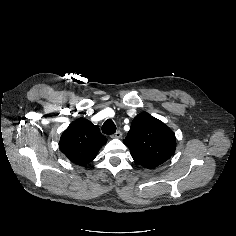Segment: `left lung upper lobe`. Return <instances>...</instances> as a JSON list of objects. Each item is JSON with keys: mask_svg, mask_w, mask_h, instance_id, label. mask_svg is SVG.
<instances>
[{"mask_svg": "<svg viewBox=\"0 0 236 236\" xmlns=\"http://www.w3.org/2000/svg\"><path fill=\"white\" fill-rule=\"evenodd\" d=\"M123 142L130 149L132 158L148 169L167 161L174 154L176 147L173 131L146 112L134 118Z\"/></svg>", "mask_w": 236, "mask_h": 236, "instance_id": "1", "label": "left lung upper lobe"}]
</instances>
